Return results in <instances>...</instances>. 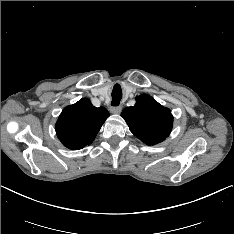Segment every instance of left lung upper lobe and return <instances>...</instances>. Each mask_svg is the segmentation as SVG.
I'll use <instances>...</instances> for the list:
<instances>
[{
    "instance_id": "1",
    "label": "left lung upper lobe",
    "mask_w": 234,
    "mask_h": 234,
    "mask_svg": "<svg viewBox=\"0 0 234 234\" xmlns=\"http://www.w3.org/2000/svg\"><path fill=\"white\" fill-rule=\"evenodd\" d=\"M121 116L130 131L148 145L162 142L172 129L171 111L146 94L138 96L136 104L125 108Z\"/></svg>"
}]
</instances>
